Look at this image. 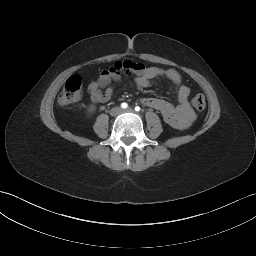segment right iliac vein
<instances>
[{"mask_svg":"<svg viewBox=\"0 0 256 256\" xmlns=\"http://www.w3.org/2000/svg\"><path fill=\"white\" fill-rule=\"evenodd\" d=\"M120 112H121L120 109H116V110H115V113H120Z\"/></svg>","mask_w":256,"mask_h":256,"instance_id":"63e3f726","label":"right iliac vein"}]
</instances>
